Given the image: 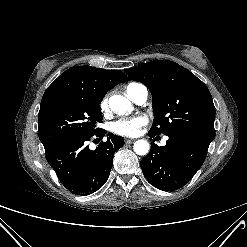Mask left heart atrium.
<instances>
[{
    "label": "left heart atrium",
    "instance_id": "obj_1",
    "mask_svg": "<svg viewBox=\"0 0 247 247\" xmlns=\"http://www.w3.org/2000/svg\"><path fill=\"white\" fill-rule=\"evenodd\" d=\"M148 123L147 116L137 114L134 116L122 117L110 125L113 133L122 136H135L139 134L141 128Z\"/></svg>",
    "mask_w": 247,
    "mask_h": 247
}]
</instances>
